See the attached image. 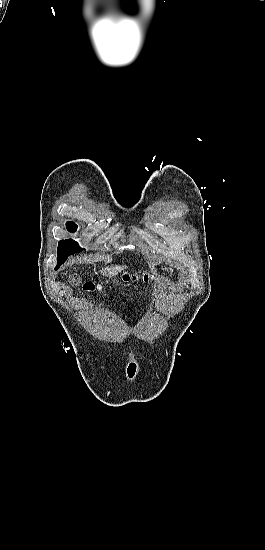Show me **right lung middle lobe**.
Instances as JSON below:
<instances>
[{"mask_svg": "<svg viewBox=\"0 0 265 550\" xmlns=\"http://www.w3.org/2000/svg\"><path fill=\"white\" fill-rule=\"evenodd\" d=\"M66 226L69 232H74L77 229V225L74 222H68ZM82 250L83 249L78 245V243L72 239L59 241L57 249V267L61 266L66 261L69 255L81 252Z\"/></svg>", "mask_w": 265, "mask_h": 550, "instance_id": "dd1d6c3e", "label": "right lung middle lobe"}]
</instances>
